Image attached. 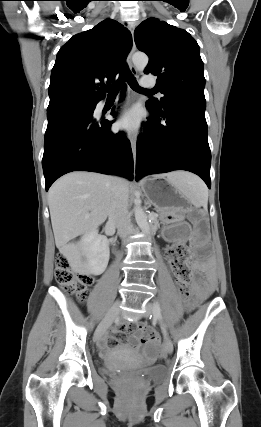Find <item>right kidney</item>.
Returning a JSON list of instances; mask_svg holds the SVG:
<instances>
[{
  "instance_id": "obj_1",
  "label": "right kidney",
  "mask_w": 261,
  "mask_h": 427,
  "mask_svg": "<svg viewBox=\"0 0 261 427\" xmlns=\"http://www.w3.org/2000/svg\"><path fill=\"white\" fill-rule=\"evenodd\" d=\"M80 245L85 257V270L93 275L102 274L110 256L108 239L93 229L81 237Z\"/></svg>"
}]
</instances>
